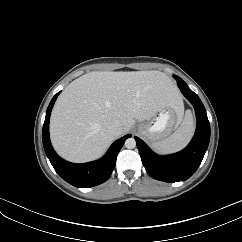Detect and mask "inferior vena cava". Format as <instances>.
Instances as JSON below:
<instances>
[{
  "label": "inferior vena cava",
  "instance_id": "inferior-vena-cava-1",
  "mask_svg": "<svg viewBox=\"0 0 242 242\" xmlns=\"http://www.w3.org/2000/svg\"><path fill=\"white\" fill-rule=\"evenodd\" d=\"M121 130H122L121 125L118 123H113L108 128V131L114 136L120 135Z\"/></svg>",
  "mask_w": 242,
  "mask_h": 242
}]
</instances>
